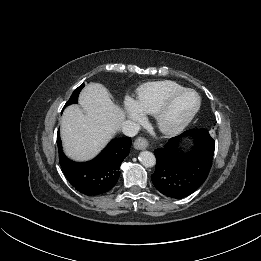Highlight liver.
<instances>
[{
    "label": "liver",
    "mask_w": 261,
    "mask_h": 261,
    "mask_svg": "<svg viewBox=\"0 0 261 261\" xmlns=\"http://www.w3.org/2000/svg\"><path fill=\"white\" fill-rule=\"evenodd\" d=\"M79 104L64 110L60 134L65 154L76 161L94 158L119 130L124 111L113 103L107 89L99 83L86 85Z\"/></svg>",
    "instance_id": "obj_1"
}]
</instances>
